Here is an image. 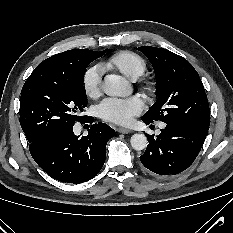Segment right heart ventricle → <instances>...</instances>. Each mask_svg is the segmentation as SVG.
Instances as JSON below:
<instances>
[{"instance_id":"e07e8e85","label":"right heart ventricle","mask_w":233,"mask_h":233,"mask_svg":"<svg viewBox=\"0 0 233 233\" xmlns=\"http://www.w3.org/2000/svg\"><path fill=\"white\" fill-rule=\"evenodd\" d=\"M105 66L108 69L117 70L131 79H137L146 70L144 59L132 51H120L113 54Z\"/></svg>"}]
</instances>
